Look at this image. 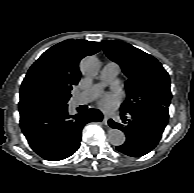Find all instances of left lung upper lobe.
<instances>
[{"label": "left lung upper lobe", "instance_id": "1", "mask_svg": "<svg viewBox=\"0 0 194 193\" xmlns=\"http://www.w3.org/2000/svg\"><path fill=\"white\" fill-rule=\"evenodd\" d=\"M102 48L128 77L127 97L121 110L168 109L170 79L156 58L121 41H103Z\"/></svg>", "mask_w": 194, "mask_h": 193}]
</instances>
